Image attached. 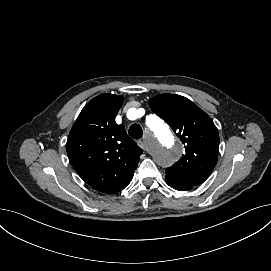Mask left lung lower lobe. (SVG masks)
<instances>
[{
	"label": "left lung lower lobe",
	"mask_w": 271,
	"mask_h": 271,
	"mask_svg": "<svg viewBox=\"0 0 271 271\" xmlns=\"http://www.w3.org/2000/svg\"><path fill=\"white\" fill-rule=\"evenodd\" d=\"M166 183L170 186L173 187L176 190L179 191H188L191 190L192 188L196 187L195 185H192L190 183H186L180 180H175L171 179L167 176H165Z\"/></svg>",
	"instance_id": "0a47b994"
}]
</instances>
